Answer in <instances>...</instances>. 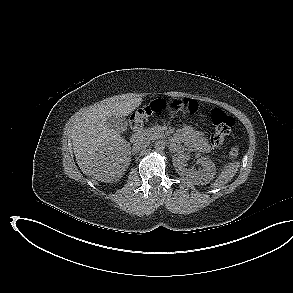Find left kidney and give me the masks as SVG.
<instances>
[{
  "label": "left kidney",
  "mask_w": 293,
  "mask_h": 293,
  "mask_svg": "<svg viewBox=\"0 0 293 293\" xmlns=\"http://www.w3.org/2000/svg\"><path fill=\"white\" fill-rule=\"evenodd\" d=\"M190 159L188 154H177L173 157V165L180 176H185L186 179L195 184H208L213 180L216 174V166L211 159L201 157L197 162L201 165V169L195 171L185 168V163Z\"/></svg>",
  "instance_id": "1"
}]
</instances>
